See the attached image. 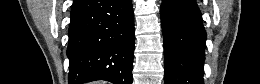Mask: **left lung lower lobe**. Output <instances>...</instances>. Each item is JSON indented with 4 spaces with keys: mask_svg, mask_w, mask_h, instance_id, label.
<instances>
[{
    "mask_svg": "<svg viewBox=\"0 0 260 84\" xmlns=\"http://www.w3.org/2000/svg\"><path fill=\"white\" fill-rule=\"evenodd\" d=\"M165 84H203L206 32L195 0H163Z\"/></svg>",
    "mask_w": 260,
    "mask_h": 84,
    "instance_id": "1",
    "label": "left lung lower lobe"
}]
</instances>
